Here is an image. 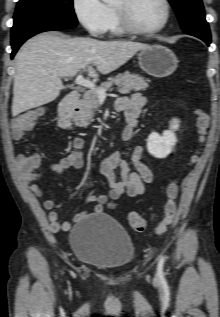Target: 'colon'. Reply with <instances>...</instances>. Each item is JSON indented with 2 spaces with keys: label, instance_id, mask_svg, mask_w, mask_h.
Masks as SVG:
<instances>
[{
  "label": "colon",
  "instance_id": "colon-1",
  "mask_svg": "<svg viewBox=\"0 0 220 317\" xmlns=\"http://www.w3.org/2000/svg\"><path fill=\"white\" fill-rule=\"evenodd\" d=\"M198 116L197 122V140L198 142H202L208 127V116L202 110L196 111ZM40 116L39 111H28L25 112L12 120L11 128L13 132V136L16 139L21 138L26 132L32 129L36 121ZM195 155L191 157L194 159ZM29 160L36 161L34 157H29ZM166 202L164 204V217L156 229L157 233H161L165 231V229L171 225H173L177 220V184L175 180L169 182L165 191ZM128 222L130 226L137 232H143L146 229V221L145 219L136 212H131L128 215Z\"/></svg>",
  "mask_w": 220,
  "mask_h": 317
}]
</instances>
